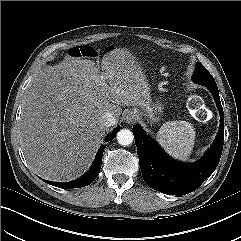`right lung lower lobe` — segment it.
<instances>
[{"mask_svg": "<svg viewBox=\"0 0 241 241\" xmlns=\"http://www.w3.org/2000/svg\"><path fill=\"white\" fill-rule=\"evenodd\" d=\"M119 127L115 128L112 133H110L106 138H105V142H108L110 140H113L117 134V132L119 131ZM106 145H102L99 148V151L97 153L96 159L92 165V167L90 168V170L84 174L82 177H80L77 180L68 182V183H56V182H50V181H46L44 180V182L53 185L55 187H59V188H81V187H85L90 185L95 179L96 177L99 175V171L102 165V156H103V150L105 148ZM43 180V179H42Z\"/></svg>", "mask_w": 241, "mask_h": 241, "instance_id": "98d812e1", "label": "right lung lower lobe"}]
</instances>
